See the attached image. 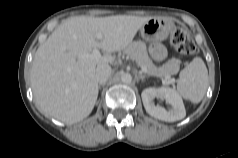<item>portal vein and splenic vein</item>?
Returning a JSON list of instances; mask_svg holds the SVG:
<instances>
[{"label": "portal vein and splenic vein", "instance_id": "18ae733b", "mask_svg": "<svg viewBox=\"0 0 238 158\" xmlns=\"http://www.w3.org/2000/svg\"><path fill=\"white\" fill-rule=\"evenodd\" d=\"M96 37L98 39H102V34L101 33H97L96 34ZM86 57H91V58H95V59H98L101 57V54H100V51L97 49V48H94L92 53L90 55H86ZM142 72L146 73L147 72V68L146 67H143L142 68ZM172 82H174V79L171 80Z\"/></svg>", "mask_w": 238, "mask_h": 158}]
</instances>
